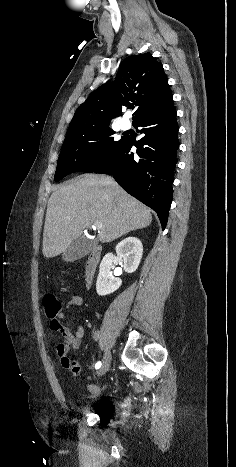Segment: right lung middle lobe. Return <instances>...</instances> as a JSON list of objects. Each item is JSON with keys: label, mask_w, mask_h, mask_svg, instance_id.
<instances>
[{"label": "right lung middle lobe", "mask_w": 236, "mask_h": 467, "mask_svg": "<svg viewBox=\"0 0 236 467\" xmlns=\"http://www.w3.org/2000/svg\"><path fill=\"white\" fill-rule=\"evenodd\" d=\"M114 134L109 127L79 134H66L57 162L55 181L73 172L91 173L107 163L127 139L123 136L120 140H115Z\"/></svg>", "instance_id": "dd1d6c3e"}]
</instances>
